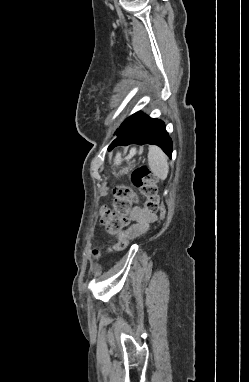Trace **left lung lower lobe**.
I'll use <instances>...</instances> for the list:
<instances>
[{
  "mask_svg": "<svg viewBox=\"0 0 249 382\" xmlns=\"http://www.w3.org/2000/svg\"><path fill=\"white\" fill-rule=\"evenodd\" d=\"M152 144L159 146L169 157L172 154V141L161 120L143 115L130 129L119 133L109 149L119 145Z\"/></svg>",
  "mask_w": 249,
  "mask_h": 382,
  "instance_id": "left-lung-lower-lobe-1",
  "label": "left lung lower lobe"
}]
</instances>
